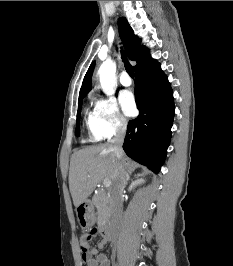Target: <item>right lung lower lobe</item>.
Masks as SVG:
<instances>
[{
    "mask_svg": "<svg viewBox=\"0 0 233 266\" xmlns=\"http://www.w3.org/2000/svg\"><path fill=\"white\" fill-rule=\"evenodd\" d=\"M135 98L139 116L128 123L123 149L158 173L170 144L175 107L170 83L157 60L135 70Z\"/></svg>",
    "mask_w": 233,
    "mask_h": 266,
    "instance_id": "98d812e1",
    "label": "right lung lower lobe"
}]
</instances>
